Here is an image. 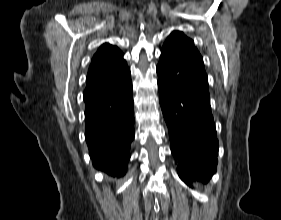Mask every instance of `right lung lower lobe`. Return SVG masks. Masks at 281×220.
Masks as SVG:
<instances>
[{"instance_id":"right-lung-lower-lobe-1","label":"right lung lower lobe","mask_w":281,"mask_h":220,"mask_svg":"<svg viewBox=\"0 0 281 220\" xmlns=\"http://www.w3.org/2000/svg\"><path fill=\"white\" fill-rule=\"evenodd\" d=\"M85 138L93 166L110 176L125 174L134 138L132 82L84 93Z\"/></svg>"}]
</instances>
